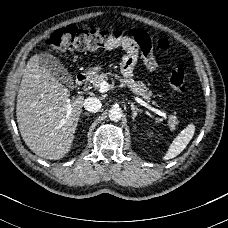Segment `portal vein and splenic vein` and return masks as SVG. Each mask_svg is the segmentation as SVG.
<instances>
[{
  "instance_id": "1",
  "label": "portal vein and splenic vein",
  "mask_w": 228,
  "mask_h": 228,
  "mask_svg": "<svg viewBox=\"0 0 228 228\" xmlns=\"http://www.w3.org/2000/svg\"><path fill=\"white\" fill-rule=\"evenodd\" d=\"M123 86V85H121ZM111 88V85L107 82V81H103L100 83V88H99V92L100 93H105L107 91H109ZM135 100L143 105L144 107L148 108L149 110H152L154 112H156V114H158V116H161V118H167V113H164V111H161V109H155L153 107H151L150 105H148L145 101H143L142 99L136 97ZM71 112V109L69 111H67V114L69 115Z\"/></svg>"
}]
</instances>
